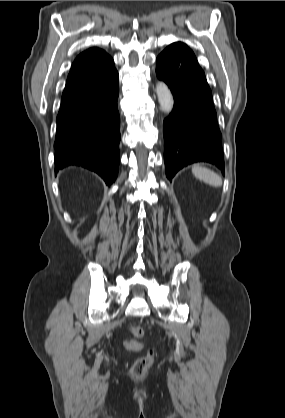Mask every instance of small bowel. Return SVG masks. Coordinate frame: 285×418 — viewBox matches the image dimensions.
<instances>
[{
    "label": "small bowel",
    "mask_w": 285,
    "mask_h": 418,
    "mask_svg": "<svg viewBox=\"0 0 285 418\" xmlns=\"http://www.w3.org/2000/svg\"><path fill=\"white\" fill-rule=\"evenodd\" d=\"M124 347L127 350H132V351L138 352L143 348V345H142L141 342H137V341H134V340H127V341L124 342Z\"/></svg>",
    "instance_id": "obj_1"
}]
</instances>
